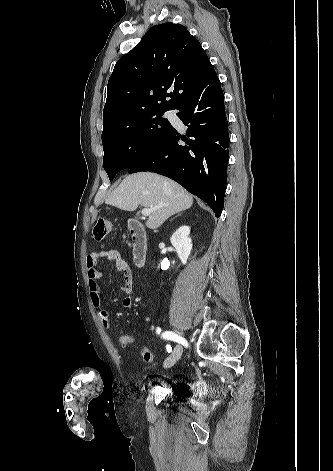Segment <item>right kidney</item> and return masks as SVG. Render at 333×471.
Segmentation results:
<instances>
[{
    "label": "right kidney",
    "mask_w": 333,
    "mask_h": 471,
    "mask_svg": "<svg viewBox=\"0 0 333 471\" xmlns=\"http://www.w3.org/2000/svg\"><path fill=\"white\" fill-rule=\"evenodd\" d=\"M189 233L190 228L188 226H181L170 239L171 244L176 248L179 259L184 265L187 263L192 250V241L189 238Z\"/></svg>",
    "instance_id": "obj_1"
}]
</instances>
